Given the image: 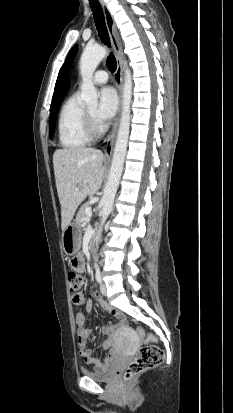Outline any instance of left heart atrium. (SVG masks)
I'll return each mask as SVG.
<instances>
[{
  "label": "left heart atrium",
  "instance_id": "obj_1",
  "mask_svg": "<svg viewBox=\"0 0 233 413\" xmlns=\"http://www.w3.org/2000/svg\"><path fill=\"white\" fill-rule=\"evenodd\" d=\"M118 108V97L115 90L111 87H105L100 92L99 107L96 112V118L100 123L109 121L116 113Z\"/></svg>",
  "mask_w": 233,
  "mask_h": 413
}]
</instances>
